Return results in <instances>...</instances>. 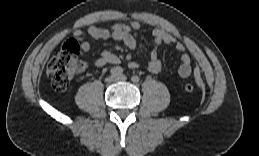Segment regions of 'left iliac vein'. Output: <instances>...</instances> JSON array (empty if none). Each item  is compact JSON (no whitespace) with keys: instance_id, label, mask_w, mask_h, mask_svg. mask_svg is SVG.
<instances>
[{"instance_id":"1","label":"left iliac vein","mask_w":259,"mask_h":156,"mask_svg":"<svg viewBox=\"0 0 259 156\" xmlns=\"http://www.w3.org/2000/svg\"><path fill=\"white\" fill-rule=\"evenodd\" d=\"M127 79V77L125 75H119L116 77L117 81H125Z\"/></svg>"}]
</instances>
